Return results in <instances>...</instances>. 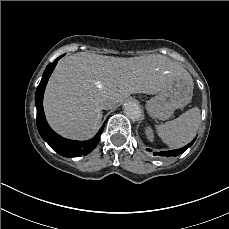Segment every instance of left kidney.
Wrapping results in <instances>:
<instances>
[{
  "label": "left kidney",
  "mask_w": 229,
  "mask_h": 229,
  "mask_svg": "<svg viewBox=\"0 0 229 229\" xmlns=\"http://www.w3.org/2000/svg\"><path fill=\"white\" fill-rule=\"evenodd\" d=\"M146 134H147V136H148V138H149L150 140L153 138V134H152L151 129H147Z\"/></svg>",
  "instance_id": "1"
}]
</instances>
